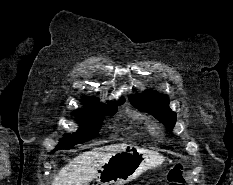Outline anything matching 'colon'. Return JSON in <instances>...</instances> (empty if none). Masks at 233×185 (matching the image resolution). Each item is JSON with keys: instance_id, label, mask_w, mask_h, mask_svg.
<instances>
[{"instance_id": "colon-1", "label": "colon", "mask_w": 233, "mask_h": 185, "mask_svg": "<svg viewBox=\"0 0 233 185\" xmlns=\"http://www.w3.org/2000/svg\"><path fill=\"white\" fill-rule=\"evenodd\" d=\"M168 185H185L184 167L182 164L174 165L168 172Z\"/></svg>"}]
</instances>
